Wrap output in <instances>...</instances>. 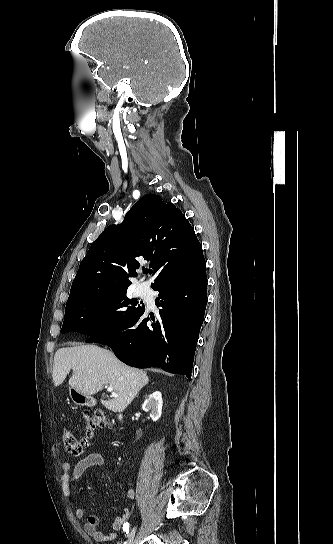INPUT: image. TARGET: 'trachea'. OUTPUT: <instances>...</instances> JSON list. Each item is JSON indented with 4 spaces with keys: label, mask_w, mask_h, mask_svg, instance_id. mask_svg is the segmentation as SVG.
Instances as JSON below:
<instances>
[{
    "label": "trachea",
    "mask_w": 333,
    "mask_h": 544,
    "mask_svg": "<svg viewBox=\"0 0 333 544\" xmlns=\"http://www.w3.org/2000/svg\"><path fill=\"white\" fill-rule=\"evenodd\" d=\"M146 273H150V271H146Z\"/></svg>",
    "instance_id": "obj_1"
}]
</instances>
